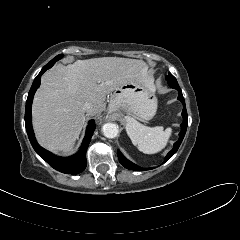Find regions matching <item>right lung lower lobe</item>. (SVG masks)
I'll use <instances>...</instances> for the list:
<instances>
[{
    "label": "right lung lower lobe",
    "mask_w": 240,
    "mask_h": 240,
    "mask_svg": "<svg viewBox=\"0 0 240 240\" xmlns=\"http://www.w3.org/2000/svg\"><path fill=\"white\" fill-rule=\"evenodd\" d=\"M54 63L55 62L50 61L47 65H45L42 68L41 72L38 74V76L35 78V80L32 84V87L29 91L28 98L26 101L25 126H26V131H27V134H28V137H29L32 147L37 152V154L39 156H41L42 159H44L47 163H49L52 168H54L62 173L75 175V174H78V173L84 171V169L87 166L86 151H87L88 145L90 143L92 134L96 128L95 121L94 120L89 121V124L86 129V134L82 141L79 152L68 158L57 157V156L53 155L52 153H50L49 151L42 148L41 146H39L35 139L33 128H32L31 105H32L35 91L37 90V88L40 85L42 74L47 69L51 68L54 65Z\"/></svg>",
    "instance_id": "98d812e1"
}]
</instances>
